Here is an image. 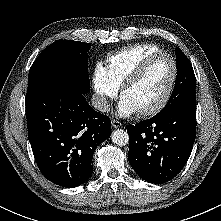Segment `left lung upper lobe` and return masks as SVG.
Masks as SVG:
<instances>
[{
    "mask_svg": "<svg viewBox=\"0 0 221 221\" xmlns=\"http://www.w3.org/2000/svg\"><path fill=\"white\" fill-rule=\"evenodd\" d=\"M177 77L171 97L157 114L162 116L182 105H196V79L192 65L185 54L176 48Z\"/></svg>",
    "mask_w": 221,
    "mask_h": 221,
    "instance_id": "1",
    "label": "left lung upper lobe"
}]
</instances>
